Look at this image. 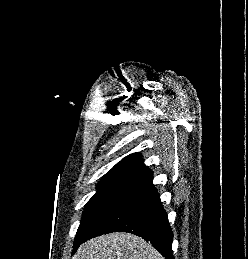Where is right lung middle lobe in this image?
<instances>
[{
    "label": "right lung middle lobe",
    "mask_w": 248,
    "mask_h": 259,
    "mask_svg": "<svg viewBox=\"0 0 248 259\" xmlns=\"http://www.w3.org/2000/svg\"><path fill=\"white\" fill-rule=\"evenodd\" d=\"M132 186L122 183L98 185V190L85 206L83 217L78 228L75 243L85 237Z\"/></svg>",
    "instance_id": "dd1d6c3e"
}]
</instances>
